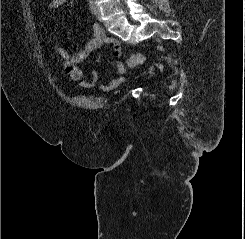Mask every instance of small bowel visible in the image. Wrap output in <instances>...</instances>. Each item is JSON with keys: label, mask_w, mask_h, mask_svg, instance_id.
Returning <instances> with one entry per match:
<instances>
[{"label": "small bowel", "mask_w": 245, "mask_h": 239, "mask_svg": "<svg viewBox=\"0 0 245 239\" xmlns=\"http://www.w3.org/2000/svg\"><path fill=\"white\" fill-rule=\"evenodd\" d=\"M67 0H50L47 3V9L49 11H55L62 9ZM103 44H110L114 48V56L119 58L121 56V47L119 41L115 38L106 37L103 29L98 24L91 26V34L89 39L84 43L82 49L69 56L64 49L58 48V55L63 60V68L66 74L71 80L79 82L83 88L92 89L96 87L99 80V73L92 71L90 77L87 80H83V72L79 68V64L85 61L90 54L100 48ZM115 74L111 79L99 86L103 92H110L116 89L125 80V74L127 72L126 66L119 60L114 61Z\"/></svg>", "instance_id": "small-bowel-1"}]
</instances>
